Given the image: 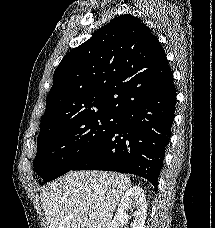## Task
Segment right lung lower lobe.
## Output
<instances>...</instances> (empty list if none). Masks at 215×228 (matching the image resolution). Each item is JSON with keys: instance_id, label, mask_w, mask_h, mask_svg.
<instances>
[{"instance_id": "obj_1", "label": "right lung lower lobe", "mask_w": 215, "mask_h": 228, "mask_svg": "<svg viewBox=\"0 0 215 228\" xmlns=\"http://www.w3.org/2000/svg\"><path fill=\"white\" fill-rule=\"evenodd\" d=\"M157 93L118 114V122L71 170H107L136 174L155 189L174 122L176 91L173 76Z\"/></svg>"}]
</instances>
